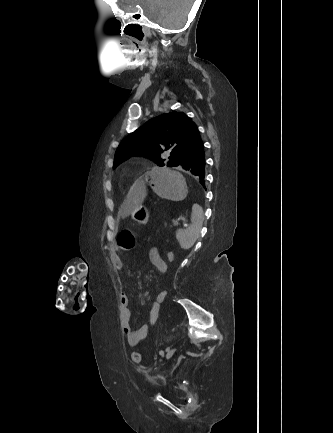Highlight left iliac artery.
<instances>
[{
	"label": "left iliac artery",
	"mask_w": 333,
	"mask_h": 433,
	"mask_svg": "<svg viewBox=\"0 0 333 433\" xmlns=\"http://www.w3.org/2000/svg\"><path fill=\"white\" fill-rule=\"evenodd\" d=\"M169 350H170V347H167L165 351L167 352V351H169ZM163 353H164V351H161V352H160L161 355H162Z\"/></svg>",
	"instance_id": "1"
}]
</instances>
